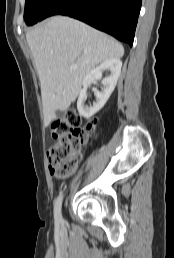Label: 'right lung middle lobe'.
I'll return each mask as SVG.
<instances>
[{"label": "right lung middle lobe", "mask_w": 174, "mask_h": 258, "mask_svg": "<svg viewBox=\"0 0 174 258\" xmlns=\"http://www.w3.org/2000/svg\"><path fill=\"white\" fill-rule=\"evenodd\" d=\"M52 0H26L24 20L27 25H33L43 19V14Z\"/></svg>", "instance_id": "right-lung-middle-lobe-1"}]
</instances>
